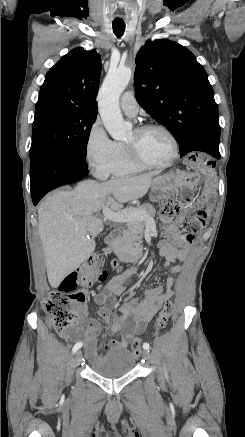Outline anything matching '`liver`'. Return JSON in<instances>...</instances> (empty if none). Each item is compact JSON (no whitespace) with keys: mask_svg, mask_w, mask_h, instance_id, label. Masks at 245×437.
<instances>
[{"mask_svg":"<svg viewBox=\"0 0 245 437\" xmlns=\"http://www.w3.org/2000/svg\"><path fill=\"white\" fill-rule=\"evenodd\" d=\"M157 172L96 182H80L72 191H56L38 209V232L51 287L74 271L95 250L102 219L95 214L104 205L119 211L123 204L142 198Z\"/></svg>","mask_w":245,"mask_h":437,"instance_id":"6515ba94","label":"liver"}]
</instances>
